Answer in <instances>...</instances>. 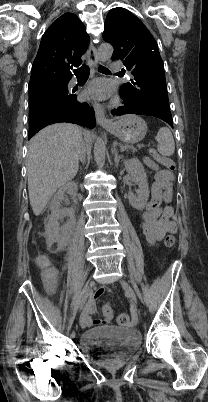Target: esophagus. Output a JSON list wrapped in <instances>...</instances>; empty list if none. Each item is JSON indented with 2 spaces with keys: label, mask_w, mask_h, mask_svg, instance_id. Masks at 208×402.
Returning a JSON list of instances; mask_svg holds the SVG:
<instances>
[{
  "label": "esophagus",
  "mask_w": 208,
  "mask_h": 402,
  "mask_svg": "<svg viewBox=\"0 0 208 402\" xmlns=\"http://www.w3.org/2000/svg\"><path fill=\"white\" fill-rule=\"evenodd\" d=\"M87 61L92 68L96 67L98 64L97 50L92 43L89 45V48L87 50ZM93 107L95 110L96 120L100 125L102 126L112 125L110 120H108L102 105H100L99 103H94Z\"/></svg>",
  "instance_id": "obj_1"
}]
</instances>
